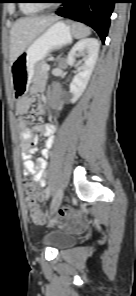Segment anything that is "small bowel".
I'll use <instances>...</instances> for the list:
<instances>
[{
  "instance_id": "obj_1",
  "label": "small bowel",
  "mask_w": 136,
  "mask_h": 296,
  "mask_svg": "<svg viewBox=\"0 0 136 296\" xmlns=\"http://www.w3.org/2000/svg\"><path fill=\"white\" fill-rule=\"evenodd\" d=\"M31 108V101L25 97L19 100L17 104V114L19 115V131L20 139L22 143V158L24 175L31 176L34 181L39 183L41 186L45 185V172L47 169L46 157L49 155V149L54 143V134L56 131V125L53 123H38L30 128L28 126V120L25 115ZM43 110L39 107L33 112V115L42 113ZM41 133L46 137L45 149L42 151V155L36 159H32V155L37 150L38 135Z\"/></svg>"
}]
</instances>
